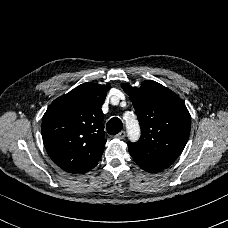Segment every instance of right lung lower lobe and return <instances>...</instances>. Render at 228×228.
Listing matches in <instances>:
<instances>
[{"mask_svg": "<svg viewBox=\"0 0 228 228\" xmlns=\"http://www.w3.org/2000/svg\"><path fill=\"white\" fill-rule=\"evenodd\" d=\"M96 165H97V164H96ZM96 165H95V166H96ZM95 166H93L92 168H94ZM92 168L88 169L86 172L90 171ZM86 172H84V173H86Z\"/></svg>", "mask_w": 228, "mask_h": 228, "instance_id": "1", "label": "right lung lower lobe"}]
</instances>
